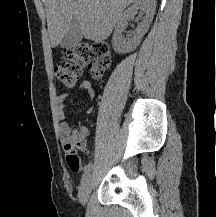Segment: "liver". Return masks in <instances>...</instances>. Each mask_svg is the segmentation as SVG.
Wrapping results in <instances>:
<instances>
[{
	"instance_id": "6515ba94",
	"label": "liver",
	"mask_w": 216,
	"mask_h": 217,
	"mask_svg": "<svg viewBox=\"0 0 216 217\" xmlns=\"http://www.w3.org/2000/svg\"><path fill=\"white\" fill-rule=\"evenodd\" d=\"M135 0H45L48 31L56 47L75 19L82 35L91 41L106 40L124 9Z\"/></svg>"
}]
</instances>
